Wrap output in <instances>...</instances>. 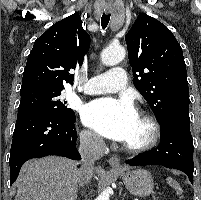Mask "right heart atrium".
Instances as JSON below:
<instances>
[{
  "instance_id": "right-heart-atrium-1",
  "label": "right heart atrium",
  "mask_w": 201,
  "mask_h": 200,
  "mask_svg": "<svg viewBox=\"0 0 201 200\" xmlns=\"http://www.w3.org/2000/svg\"><path fill=\"white\" fill-rule=\"evenodd\" d=\"M82 144L91 150L101 151L104 147L103 140L91 130H83L80 134Z\"/></svg>"
}]
</instances>
